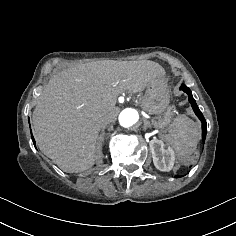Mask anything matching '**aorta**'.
<instances>
[{"label":"aorta","mask_w":236,"mask_h":236,"mask_svg":"<svg viewBox=\"0 0 236 236\" xmlns=\"http://www.w3.org/2000/svg\"><path fill=\"white\" fill-rule=\"evenodd\" d=\"M138 120V111L132 108H126L119 114V123L124 128L133 126Z\"/></svg>","instance_id":"1"}]
</instances>
